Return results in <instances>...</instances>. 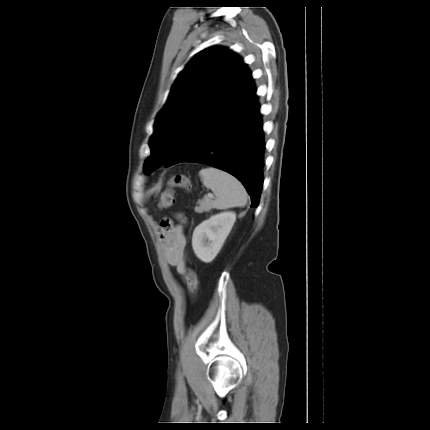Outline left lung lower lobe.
Here are the masks:
<instances>
[{
  "mask_svg": "<svg viewBox=\"0 0 430 430\" xmlns=\"http://www.w3.org/2000/svg\"><path fill=\"white\" fill-rule=\"evenodd\" d=\"M264 136L256 92L234 115L210 117L197 127L190 144L167 162H197L239 179L257 207L263 186Z\"/></svg>",
  "mask_w": 430,
  "mask_h": 430,
  "instance_id": "1",
  "label": "left lung lower lobe"
}]
</instances>
